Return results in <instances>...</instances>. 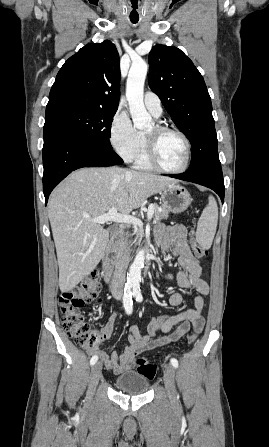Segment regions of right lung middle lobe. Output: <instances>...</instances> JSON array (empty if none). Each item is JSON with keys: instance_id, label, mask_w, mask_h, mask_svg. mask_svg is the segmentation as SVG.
I'll use <instances>...</instances> for the list:
<instances>
[{"instance_id": "dd1d6c3e", "label": "right lung middle lobe", "mask_w": 269, "mask_h": 447, "mask_svg": "<svg viewBox=\"0 0 269 447\" xmlns=\"http://www.w3.org/2000/svg\"><path fill=\"white\" fill-rule=\"evenodd\" d=\"M117 109L65 107L46 113L45 121L67 127L73 133L112 149L111 122Z\"/></svg>"}]
</instances>
